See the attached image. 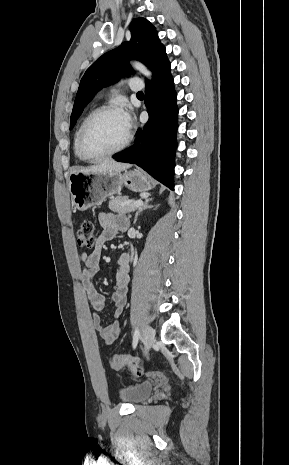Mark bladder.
<instances>
[{"label":"bladder","instance_id":"1","mask_svg":"<svg viewBox=\"0 0 289 465\" xmlns=\"http://www.w3.org/2000/svg\"><path fill=\"white\" fill-rule=\"evenodd\" d=\"M154 389L152 381H144L138 384L123 387L119 390V397L126 403L138 404L146 400Z\"/></svg>","mask_w":289,"mask_h":465}]
</instances>
